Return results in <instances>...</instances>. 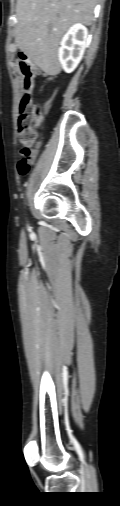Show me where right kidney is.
I'll use <instances>...</instances> for the list:
<instances>
[{"instance_id": "right-kidney-1", "label": "right kidney", "mask_w": 120, "mask_h": 506, "mask_svg": "<svg viewBox=\"0 0 120 506\" xmlns=\"http://www.w3.org/2000/svg\"><path fill=\"white\" fill-rule=\"evenodd\" d=\"M88 44V30L82 24L69 28L61 41L58 58L65 72L71 73L81 61Z\"/></svg>"}]
</instances>
